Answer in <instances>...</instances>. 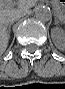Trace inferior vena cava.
<instances>
[{"mask_svg": "<svg viewBox=\"0 0 65 89\" xmlns=\"http://www.w3.org/2000/svg\"><path fill=\"white\" fill-rule=\"evenodd\" d=\"M23 16V13H20V14H18V15H16V16H13L10 20H9V23L11 24V23H13V22H15V21H17L19 18H21ZM2 20V19H1Z\"/></svg>", "mask_w": 65, "mask_h": 89, "instance_id": "obj_1", "label": "inferior vena cava"}]
</instances>
